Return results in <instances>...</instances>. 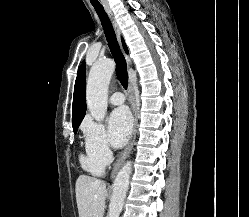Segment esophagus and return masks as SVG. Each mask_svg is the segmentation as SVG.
Listing matches in <instances>:
<instances>
[{
  "label": "esophagus",
  "mask_w": 249,
  "mask_h": 217,
  "mask_svg": "<svg viewBox=\"0 0 249 217\" xmlns=\"http://www.w3.org/2000/svg\"><path fill=\"white\" fill-rule=\"evenodd\" d=\"M105 11H106L107 15L109 16V18H110V20L112 22L115 34L117 36L118 42H119V44L121 46V49H122L121 31H120V28L118 26V23L115 20L111 10L108 7H105ZM124 55H125L127 64L130 65L131 61H130L129 57L125 53H124ZM128 101H129V104H130V107H131V110H132V114H133V130H132V134H131L130 140L128 142V145L125 148V150L123 151L119 161L117 162L114 171H116L124 163V161L127 159V157L129 156V154H130V152L132 150V147H133L135 137H136L137 112H136V107H135V103H134L133 88H132L131 82H129V85H128Z\"/></svg>",
  "instance_id": "esophagus-1"
}]
</instances>
